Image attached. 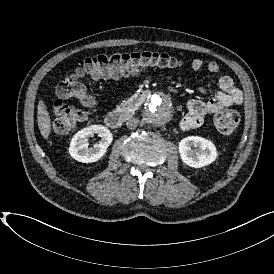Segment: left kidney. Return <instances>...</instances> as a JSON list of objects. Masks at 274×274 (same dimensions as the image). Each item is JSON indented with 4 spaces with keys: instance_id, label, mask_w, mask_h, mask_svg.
<instances>
[{
    "instance_id": "1",
    "label": "left kidney",
    "mask_w": 274,
    "mask_h": 274,
    "mask_svg": "<svg viewBox=\"0 0 274 274\" xmlns=\"http://www.w3.org/2000/svg\"><path fill=\"white\" fill-rule=\"evenodd\" d=\"M198 148L194 150L192 148ZM179 153L182 161L194 168H201L214 162L217 158L215 145L199 136H188L179 142Z\"/></svg>"
}]
</instances>
